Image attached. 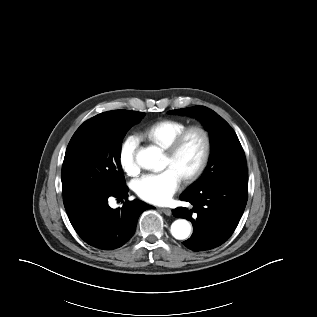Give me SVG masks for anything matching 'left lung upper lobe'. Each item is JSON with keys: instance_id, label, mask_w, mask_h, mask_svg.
Instances as JSON below:
<instances>
[{"instance_id": "1", "label": "left lung upper lobe", "mask_w": 317, "mask_h": 317, "mask_svg": "<svg viewBox=\"0 0 317 317\" xmlns=\"http://www.w3.org/2000/svg\"><path fill=\"white\" fill-rule=\"evenodd\" d=\"M170 113L196 117L210 134L211 156L208 166L201 178L187 190H199L233 178H247L244 150L236 133L222 117L205 106L177 109Z\"/></svg>"}]
</instances>
